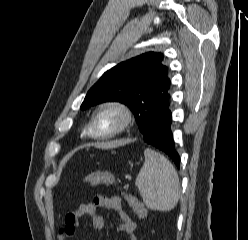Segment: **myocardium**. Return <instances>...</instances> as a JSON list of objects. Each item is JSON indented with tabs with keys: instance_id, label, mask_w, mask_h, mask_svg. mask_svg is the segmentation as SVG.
Instances as JSON below:
<instances>
[{
	"instance_id": "obj_1",
	"label": "myocardium",
	"mask_w": 248,
	"mask_h": 240,
	"mask_svg": "<svg viewBox=\"0 0 248 240\" xmlns=\"http://www.w3.org/2000/svg\"><path fill=\"white\" fill-rule=\"evenodd\" d=\"M105 109H112L116 111L121 116V123L117 128H115L111 132L98 134L94 130L95 119L96 116ZM132 120H133V114L128 105L118 100H106L101 102L93 111L89 122V134L92 137L99 139L112 138L125 131L130 126Z\"/></svg>"
}]
</instances>
